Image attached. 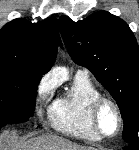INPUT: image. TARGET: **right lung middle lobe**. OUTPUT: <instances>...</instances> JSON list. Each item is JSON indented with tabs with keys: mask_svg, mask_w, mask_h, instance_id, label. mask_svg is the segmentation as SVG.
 Segmentation results:
<instances>
[{
	"mask_svg": "<svg viewBox=\"0 0 139 150\" xmlns=\"http://www.w3.org/2000/svg\"><path fill=\"white\" fill-rule=\"evenodd\" d=\"M41 75L16 67H0V128L26 122L34 112Z\"/></svg>",
	"mask_w": 139,
	"mask_h": 150,
	"instance_id": "dd1d6c3e",
	"label": "right lung middle lobe"
}]
</instances>
